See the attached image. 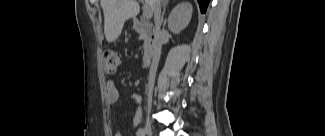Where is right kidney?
Listing matches in <instances>:
<instances>
[{"label":"right kidney","mask_w":325,"mask_h":136,"mask_svg":"<svg viewBox=\"0 0 325 136\" xmlns=\"http://www.w3.org/2000/svg\"><path fill=\"white\" fill-rule=\"evenodd\" d=\"M192 10V5L187 1L178 4L168 17L169 29L173 33L179 34L188 26L192 16Z\"/></svg>","instance_id":"obj_1"}]
</instances>
